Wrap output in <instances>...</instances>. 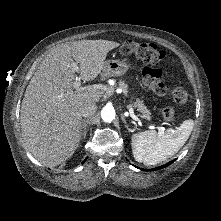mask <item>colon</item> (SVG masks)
<instances>
[{"label": "colon", "mask_w": 221, "mask_h": 221, "mask_svg": "<svg viewBox=\"0 0 221 221\" xmlns=\"http://www.w3.org/2000/svg\"><path fill=\"white\" fill-rule=\"evenodd\" d=\"M121 53L123 55H134L141 61L148 64L144 68L142 76L143 81L151 87L156 94L164 95L167 92V87L162 78V71L158 65L163 60L165 54L162 50L158 49L155 44L146 42H135L126 40L121 46ZM175 103L182 105L188 100L187 92L180 86H173L169 90ZM164 121L171 123L175 120V110L173 107H165L162 111Z\"/></svg>", "instance_id": "5ec220e1"}]
</instances>
